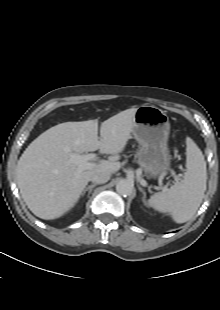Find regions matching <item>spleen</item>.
<instances>
[{
    "mask_svg": "<svg viewBox=\"0 0 220 310\" xmlns=\"http://www.w3.org/2000/svg\"><path fill=\"white\" fill-rule=\"evenodd\" d=\"M186 144V172L183 180L148 200L149 206L159 212L169 213L176 223H184L193 217L206 191L204 156L192 139L187 138Z\"/></svg>",
    "mask_w": 220,
    "mask_h": 310,
    "instance_id": "spleen-1",
    "label": "spleen"
}]
</instances>
